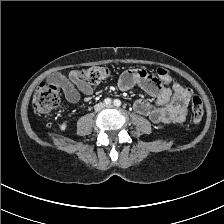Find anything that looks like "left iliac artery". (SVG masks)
Segmentation results:
<instances>
[{
    "instance_id": "44dca946",
    "label": "left iliac artery",
    "mask_w": 224,
    "mask_h": 224,
    "mask_svg": "<svg viewBox=\"0 0 224 224\" xmlns=\"http://www.w3.org/2000/svg\"><path fill=\"white\" fill-rule=\"evenodd\" d=\"M114 105H115L116 107L121 106V101H120L119 99H115V100H114Z\"/></svg>"
}]
</instances>
